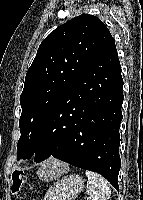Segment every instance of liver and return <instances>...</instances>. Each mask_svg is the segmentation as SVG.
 I'll list each match as a JSON object with an SVG mask.
<instances>
[{"instance_id": "obj_1", "label": "liver", "mask_w": 143, "mask_h": 200, "mask_svg": "<svg viewBox=\"0 0 143 200\" xmlns=\"http://www.w3.org/2000/svg\"><path fill=\"white\" fill-rule=\"evenodd\" d=\"M50 163H54L55 165L59 166L60 169L57 170V175H60L63 172L64 164H61L60 162L56 161L55 159H50L47 162L43 163L42 167L38 171L39 177L42 179H52L55 177L56 173L53 174L51 171H45V169L48 167Z\"/></svg>"}]
</instances>
